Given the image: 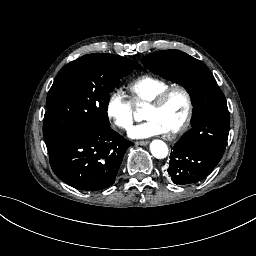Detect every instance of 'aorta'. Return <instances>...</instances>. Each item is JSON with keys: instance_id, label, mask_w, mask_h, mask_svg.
Wrapping results in <instances>:
<instances>
[{"instance_id": "762f6f07", "label": "aorta", "mask_w": 256, "mask_h": 256, "mask_svg": "<svg viewBox=\"0 0 256 256\" xmlns=\"http://www.w3.org/2000/svg\"><path fill=\"white\" fill-rule=\"evenodd\" d=\"M150 151L153 157L156 159H165L169 154V148L167 144L161 140H154L150 144Z\"/></svg>"}]
</instances>
